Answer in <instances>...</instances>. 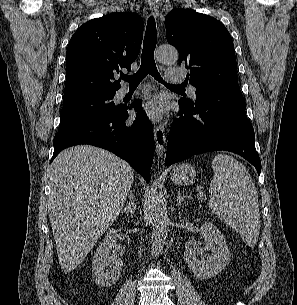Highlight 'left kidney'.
Here are the masks:
<instances>
[{"label": "left kidney", "instance_id": "5707ae66", "mask_svg": "<svg viewBox=\"0 0 297 305\" xmlns=\"http://www.w3.org/2000/svg\"><path fill=\"white\" fill-rule=\"evenodd\" d=\"M200 234L209 254L204 260H200L193 249H187L184 252V259L198 278L207 280L218 275L226 267L231 255L224 236L212 223H204L200 228Z\"/></svg>", "mask_w": 297, "mask_h": 305}]
</instances>
